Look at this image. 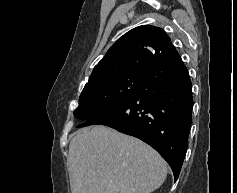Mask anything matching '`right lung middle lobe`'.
I'll return each mask as SVG.
<instances>
[{"mask_svg":"<svg viewBox=\"0 0 237 193\" xmlns=\"http://www.w3.org/2000/svg\"><path fill=\"white\" fill-rule=\"evenodd\" d=\"M144 76L145 74H127L85 85L74 116L88 121L116 109L138 91Z\"/></svg>","mask_w":237,"mask_h":193,"instance_id":"1","label":"right lung middle lobe"}]
</instances>
